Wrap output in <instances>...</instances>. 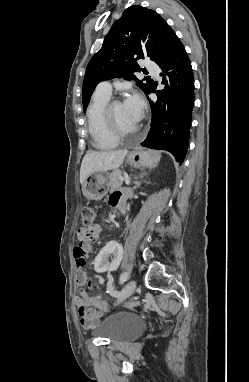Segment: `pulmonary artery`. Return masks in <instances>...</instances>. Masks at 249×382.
<instances>
[{"instance_id": "pulmonary-artery-1", "label": "pulmonary artery", "mask_w": 249, "mask_h": 382, "mask_svg": "<svg viewBox=\"0 0 249 382\" xmlns=\"http://www.w3.org/2000/svg\"><path fill=\"white\" fill-rule=\"evenodd\" d=\"M145 67H146V69H148L149 71L154 73L156 76H158V67L154 63L147 61L145 63ZM97 91L100 93L111 95L112 94V86H111L110 82L104 81V82H101L97 86Z\"/></svg>"}]
</instances>
